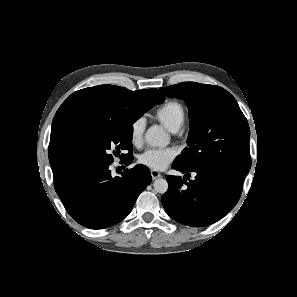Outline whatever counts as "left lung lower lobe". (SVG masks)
Returning <instances> with one entry per match:
<instances>
[{"mask_svg": "<svg viewBox=\"0 0 297 297\" xmlns=\"http://www.w3.org/2000/svg\"><path fill=\"white\" fill-rule=\"evenodd\" d=\"M172 168L185 173V176L183 179L167 176L169 187L161 201L168 215L181 224L193 227L211 225L230 212L241 196L243 186L226 177L186 170L175 163ZM191 172L195 174L193 180L187 178Z\"/></svg>", "mask_w": 297, "mask_h": 297, "instance_id": "obj_1", "label": "left lung lower lobe"}]
</instances>
